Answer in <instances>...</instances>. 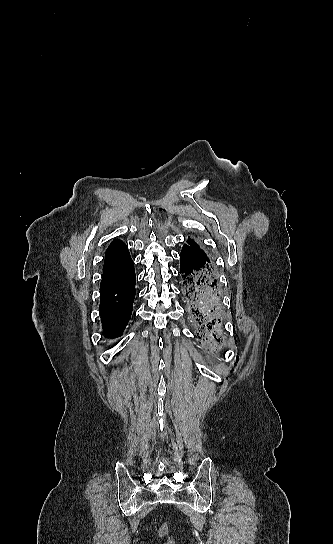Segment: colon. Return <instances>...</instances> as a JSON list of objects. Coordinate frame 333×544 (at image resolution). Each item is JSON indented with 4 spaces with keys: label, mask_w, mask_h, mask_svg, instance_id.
<instances>
[{
    "label": "colon",
    "mask_w": 333,
    "mask_h": 544,
    "mask_svg": "<svg viewBox=\"0 0 333 544\" xmlns=\"http://www.w3.org/2000/svg\"><path fill=\"white\" fill-rule=\"evenodd\" d=\"M159 535L161 537H163V538H166L165 544H175L174 541L168 537V525L167 524H163L159 528Z\"/></svg>",
    "instance_id": "colon-1"
}]
</instances>
